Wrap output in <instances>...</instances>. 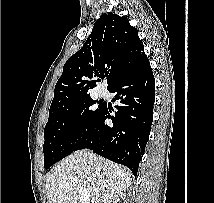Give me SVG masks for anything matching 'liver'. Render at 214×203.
Listing matches in <instances>:
<instances>
[{
    "label": "liver",
    "instance_id": "liver-1",
    "mask_svg": "<svg viewBox=\"0 0 214 203\" xmlns=\"http://www.w3.org/2000/svg\"><path fill=\"white\" fill-rule=\"evenodd\" d=\"M132 183L131 172L121 165L79 151L63 159L48 174V203H77L78 189L89 192L85 203H117Z\"/></svg>",
    "mask_w": 214,
    "mask_h": 203
}]
</instances>
